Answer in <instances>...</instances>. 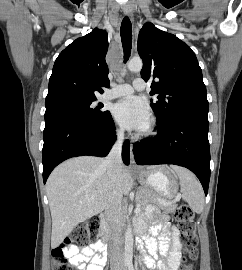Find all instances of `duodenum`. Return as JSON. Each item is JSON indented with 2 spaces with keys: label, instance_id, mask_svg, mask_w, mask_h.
Returning a JSON list of instances; mask_svg holds the SVG:
<instances>
[{
  "label": "duodenum",
  "instance_id": "obj_1",
  "mask_svg": "<svg viewBox=\"0 0 242 270\" xmlns=\"http://www.w3.org/2000/svg\"><path fill=\"white\" fill-rule=\"evenodd\" d=\"M110 214L108 212H104L100 216V223H101V233H102V238L103 242L105 245L106 249V243H108L111 239V233L108 227V220H109Z\"/></svg>",
  "mask_w": 242,
  "mask_h": 270
}]
</instances>
